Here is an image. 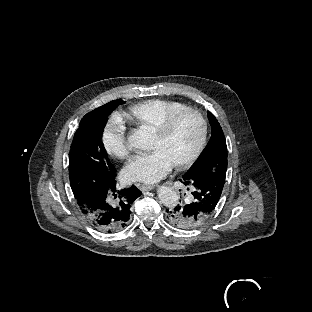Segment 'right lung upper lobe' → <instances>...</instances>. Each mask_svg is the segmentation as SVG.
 <instances>
[{
  "label": "right lung upper lobe",
  "instance_id": "cb5924a9",
  "mask_svg": "<svg viewBox=\"0 0 312 312\" xmlns=\"http://www.w3.org/2000/svg\"><path fill=\"white\" fill-rule=\"evenodd\" d=\"M122 102H124L122 99L113 100V101L93 110V111H96L100 114H104V113L108 112L112 107L118 106L119 104H122Z\"/></svg>",
  "mask_w": 312,
  "mask_h": 312
}]
</instances>
